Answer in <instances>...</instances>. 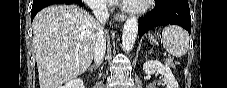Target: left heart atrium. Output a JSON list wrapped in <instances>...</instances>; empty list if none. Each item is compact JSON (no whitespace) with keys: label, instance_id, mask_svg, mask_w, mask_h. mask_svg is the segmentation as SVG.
I'll return each mask as SVG.
<instances>
[{"label":"left heart atrium","instance_id":"1","mask_svg":"<svg viewBox=\"0 0 227 88\" xmlns=\"http://www.w3.org/2000/svg\"><path fill=\"white\" fill-rule=\"evenodd\" d=\"M119 2L125 6H128V5L132 6V5L139 4L141 1L140 0H121Z\"/></svg>","mask_w":227,"mask_h":88}]
</instances>
